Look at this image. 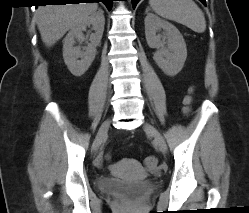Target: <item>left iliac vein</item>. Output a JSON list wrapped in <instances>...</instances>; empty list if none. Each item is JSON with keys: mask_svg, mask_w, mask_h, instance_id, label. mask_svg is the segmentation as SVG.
Returning <instances> with one entry per match:
<instances>
[{"mask_svg": "<svg viewBox=\"0 0 249 213\" xmlns=\"http://www.w3.org/2000/svg\"><path fill=\"white\" fill-rule=\"evenodd\" d=\"M144 130L146 133H149L150 135L153 136L155 142L160 148V151L165 154L167 152V144L165 142L164 137L162 134L151 124L145 123L143 126Z\"/></svg>", "mask_w": 249, "mask_h": 213, "instance_id": "4c4485c4", "label": "left iliac vein"}]
</instances>
